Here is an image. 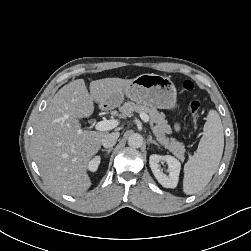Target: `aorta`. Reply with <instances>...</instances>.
I'll return each instance as SVG.
<instances>
[{
  "instance_id": "obj_1",
  "label": "aorta",
  "mask_w": 251,
  "mask_h": 251,
  "mask_svg": "<svg viewBox=\"0 0 251 251\" xmlns=\"http://www.w3.org/2000/svg\"><path fill=\"white\" fill-rule=\"evenodd\" d=\"M143 144V137L138 134H132L129 138H128V145L132 148H139L141 147Z\"/></svg>"
}]
</instances>
